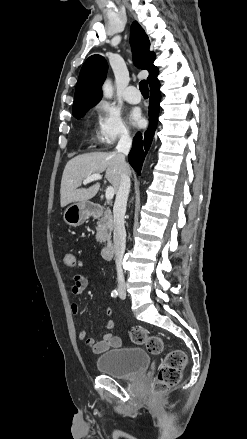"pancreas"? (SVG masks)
<instances>
[{
  "instance_id": "pancreas-1",
  "label": "pancreas",
  "mask_w": 247,
  "mask_h": 439,
  "mask_svg": "<svg viewBox=\"0 0 247 439\" xmlns=\"http://www.w3.org/2000/svg\"><path fill=\"white\" fill-rule=\"evenodd\" d=\"M113 229V220L110 209H106L103 216L99 219L96 227V240L102 244L105 241L110 242L111 232Z\"/></svg>"
}]
</instances>
